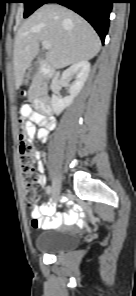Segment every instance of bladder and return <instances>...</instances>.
Wrapping results in <instances>:
<instances>
[{"instance_id":"31cf9c89","label":"bladder","mask_w":136,"mask_h":296,"mask_svg":"<svg viewBox=\"0 0 136 296\" xmlns=\"http://www.w3.org/2000/svg\"><path fill=\"white\" fill-rule=\"evenodd\" d=\"M78 243V237L75 233L58 229L55 231L44 232L37 236L35 246L41 253H58L68 250Z\"/></svg>"}]
</instances>
